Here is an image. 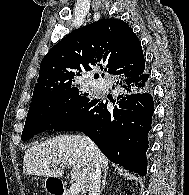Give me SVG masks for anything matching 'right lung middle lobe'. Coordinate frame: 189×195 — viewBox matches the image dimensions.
Returning <instances> with one entry per match:
<instances>
[{
  "instance_id": "right-lung-middle-lobe-1",
  "label": "right lung middle lobe",
  "mask_w": 189,
  "mask_h": 195,
  "mask_svg": "<svg viewBox=\"0 0 189 195\" xmlns=\"http://www.w3.org/2000/svg\"><path fill=\"white\" fill-rule=\"evenodd\" d=\"M87 96L70 87L31 102L21 139L26 141L61 125L91 100Z\"/></svg>"
}]
</instances>
